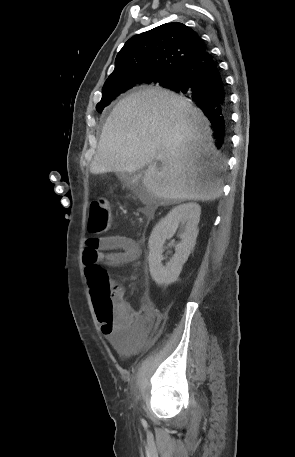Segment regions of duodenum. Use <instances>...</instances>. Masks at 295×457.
<instances>
[{"label":"duodenum","mask_w":295,"mask_h":457,"mask_svg":"<svg viewBox=\"0 0 295 457\" xmlns=\"http://www.w3.org/2000/svg\"><path fill=\"white\" fill-rule=\"evenodd\" d=\"M143 213L147 218H150L153 215L152 208L151 207L145 208Z\"/></svg>","instance_id":"1"}]
</instances>
